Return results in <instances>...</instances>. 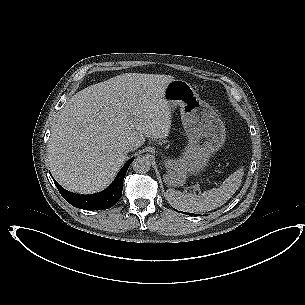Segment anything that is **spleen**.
<instances>
[{"label":"spleen","mask_w":305,"mask_h":305,"mask_svg":"<svg viewBox=\"0 0 305 305\" xmlns=\"http://www.w3.org/2000/svg\"><path fill=\"white\" fill-rule=\"evenodd\" d=\"M239 181L240 176L234 173L222 183L219 188H213L203 193L180 192L174 189L167 190V199L169 203L185 212H206L224 205L233 195L231 188L232 181Z\"/></svg>","instance_id":"3e777b00"}]
</instances>
